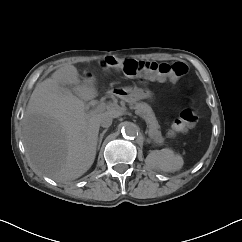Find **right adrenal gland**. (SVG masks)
<instances>
[{"label":"right adrenal gland","instance_id":"obj_1","mask_svg":"<svg viewBox=\"0 0 242 242\" xmlns=\"http://www.w3.org/2000/svg\"><path fill=\"white\" fill-rule=\"evenodd\" d=\"M108 129H105L102 133H100L99 138H98V149H100L104 134L107 132Z\"/></svg>","mask_w":242,"mask_h":242}]
</instances>
